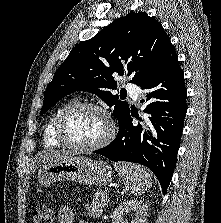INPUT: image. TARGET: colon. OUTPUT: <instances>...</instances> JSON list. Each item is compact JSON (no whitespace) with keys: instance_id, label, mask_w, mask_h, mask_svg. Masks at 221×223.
<instances>
[{"instance_id":"obj_1","label":"colon","mask_w":221,"mask_h":223,"mask_svg":"<svg viewBox=\"0 0 221 223\" xmlns=\"http://www.w3.org/2000/svg\"><path fill=\"white\" fill-rule=\"evenodd\" d=\"M33 223H53V211L42 203L39 204L33 212Z\"/></svg>"}]
</instances>
